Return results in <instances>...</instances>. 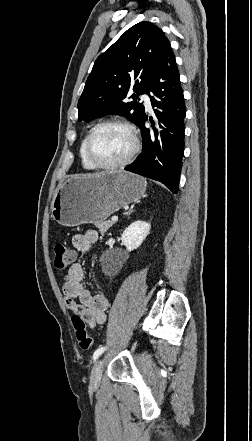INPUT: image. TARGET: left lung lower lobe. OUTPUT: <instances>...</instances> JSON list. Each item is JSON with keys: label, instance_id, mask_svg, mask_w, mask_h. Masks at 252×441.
<instances>
[{"label": "left lung lower lobe", "instance_id": "0a47b994", "mask_svg": "<svg viewBox=\"0 0 252 441\" xmlns=\"http://www.w3.org/2000/svg\"><path fill=\"white\" fill-rule=\"evenodd\" d=\"M153 96H150V93ZM161 130L153 133L145 127L147 116L139 125L143 149L138 158L124 169L165 184L173 193L178 192L184 153V118L186 109L179 72L169 41L159 54L154 74L146 92Z\"/></svg>", "mask_w": 252, "mask_h": 441}]
</instances>
